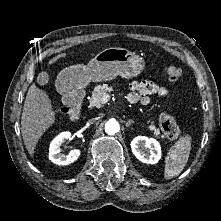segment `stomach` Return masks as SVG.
Listing matches in <instances>:
<instances>
[{"label":"stomach","mask_w":221,"mask_h":221,"mask_svg":"<svg viewBox=\"0 0 221 221\" xmlns=\"http://www.w3.org/2000/svg\"><path fill=\"white\" fill-rule=\"evenodd\" d=\"M144 67V59L135 52L111 47L99 52L87 65L77 64L63 69L58 80L69 90H77L91 81H110L117 76L125 79L136 77Z\"/></svg>","instance_id":"stomach-1"}]
</instances>
